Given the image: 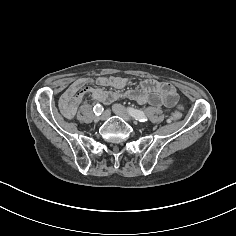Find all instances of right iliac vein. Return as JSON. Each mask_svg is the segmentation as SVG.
I'll list each match as a JSON object with an SVG mask.
<instances>
[{
	"mask_svg": "<svg viewBox=\"0 0 236 236\" xmlns=\"http://www.w3.org/2000/svg\"><path fill=\"white\" fill-rule=\"evenodd\" d=\"M109 117H110V111H109V110H106V111L103 112V114H102V116H101L100 119H101L102 121H105V120H107Z\"/></svg>",
	"mask_w": 236,
	"mask_h": 236,
	"instance_id": "right-iliac-vein-1",
	"label": "right iliac vein"
}]
</instances>
